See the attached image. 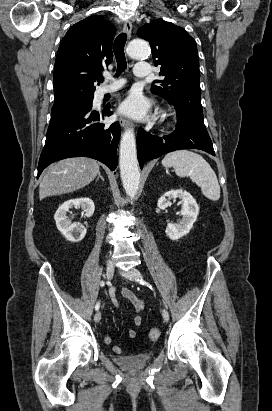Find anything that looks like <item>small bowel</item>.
<instances>
[{"label": "small bowel", "mask_w": 272, "mask_h": 411, "mask_svg": "<svg viewBox=\"0 0 272 411\" xmlns=\"http://www.w3.org/2000/svg\"><path fill=\"white\" fill-rule=\"evenodd\" d=\"M119 294H120V296H121L122 298H124V299L128 300L129 302H131L132 305L134 306V308H135V316H134V318H133V322H134L135 326H140V325L142 324V312L144 311V308H145V304H144L143 299L140 298V297H138L133 291H131V290L128 289V288H122V289L120 290ZM110 296H111V300H112L113 305H114L116 308H119V307H120V303H119V301H118V299H117V297H116V294H115V290H114V289L111 290ZM135 336H136V331H135L134 329H129V330L127 331V337H128L129 339H133V338H135ZM105 342H106V343H110V342H111V338H110V337H106V338H105ZM113 350H114V352L117 353V354H122V353H124V348H123L121 345H116V346H114V347H113Z\"/></svg>", "instance_id": "c3829d8e"}]
</instances>
